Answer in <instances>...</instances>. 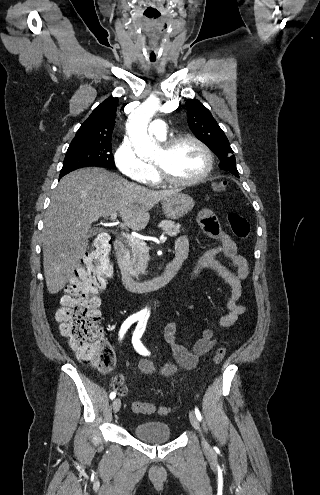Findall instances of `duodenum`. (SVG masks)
Wrapping results in <instances>:
<instances>
[{"label":"duodenum","instance_id":"duodenum-1","mask_svg":"<svg viewBox=\"0 0 320 495\" xmlns=\"http://www.w3.org/2000/svg\"><path fill=\"white\" fill-rule=\"evenodd\" d=\"M114 249L123 285L127 289L137 293L154 291L167 285L180 270L188 253L186 249L182 251L176 249L174 259L166 265L165 270L161 275L149 280L138 281L135 280L127 271L125 262L126 248L124 243L121 240H116L114 243Z\"/></svg>","mask_w":320,"mask_h":495}]
</instances>
